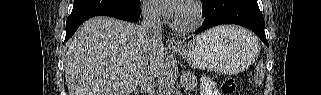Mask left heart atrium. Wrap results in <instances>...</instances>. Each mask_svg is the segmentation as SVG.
Instances as JSON below:
<instances>
[{"label": "left heart atrium", "mask_w": 321, "mask_h": 95, "mask_svg": "<svg viewBox=\"0 0 321 95\" xmlns=\"http://www.w3.org/2000/svg\"><path fill=\"white\" fill-rule=\"evenodd\" d=\"M157 9L165 16L178 17L184 11L183 0H153Z\"/></svg>", "instance_id": "left-heart-atrium-1"}]
</instances>
